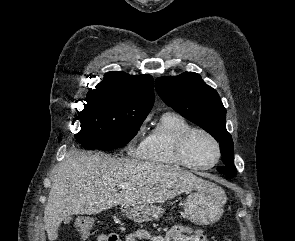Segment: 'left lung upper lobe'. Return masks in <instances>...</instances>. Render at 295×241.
<instances>
[{"label": "left lung upper lobe", "instance_id": "obj_1", "mask_svg": "<svg viewBox=\"0 0 295 241\" xmlns=\"http://www.w3.org/2000/svg\"><path fill=\"white\" fill-rule=\"evenodd\" d=\"M156 91L168 106L202 127L220 142L225 166L219 167L218 171L230 176L235 175L233 141L226 130V109L218 93L194 72L157 78Z\"/></svg>", "mask_w": 295, "mask_h": 241}]
</instances>
